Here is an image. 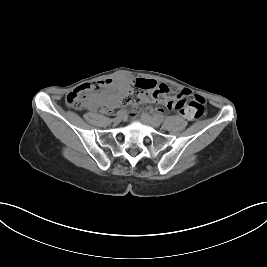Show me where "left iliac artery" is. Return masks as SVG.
<instances>
[{
    "mask_svg": "<svg viewBox=\"0 0 267 267\" xmlns=\"http://www.w3.org/2000/svg\"><path fill=\"white\" fill-rule=\"evenodd\" d=\"M154 118L158 120L159 122H163L164 117L160 114H154Z\"/></svg>",
    "mask_w": 267,
    "mask_h": 267,
    "instance_id": "44dca946",
    "label": "left iliac artery"
}]
</instances>
